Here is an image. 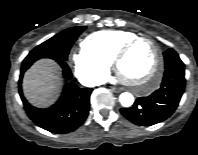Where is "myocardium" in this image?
Instances as JSON below:
<instances>
[{"label":"myocardium","mask_w":198,"mask_h":155,"mask_svg":"<svg viewBox=\"0 0 198 155\" xmlns=\"http://www.w3.org/2000/svg\"><path fill=\"white\" fill-rule=\"evenodd\" d=\"M140 41H147L153 46L154 51H155V62L147 78L141 83H136V82L126 80L120 75L119 64L128 54V52ZM112 62H113L116 73L123 78L124 83L133 87L137 92L149 93L152 90H154L160 82L161 71H162V66H163V55H162V52L158 43L150 37L137 36L128 40L114 54ZM143 86H146V87L141 88Z\"/></svg>","instance_id":"myocardium-1"}]
</instances>
